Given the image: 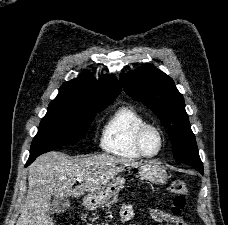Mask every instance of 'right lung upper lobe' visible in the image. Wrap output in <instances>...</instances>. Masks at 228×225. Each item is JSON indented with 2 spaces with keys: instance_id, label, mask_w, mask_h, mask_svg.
Listing matches in <instances>:
<instances>
[{
  "instance_id": "right-lung-upper-lobe-1",
  "label": "right lung upper lobe",
  "mask_w": 228,
  "mask_h": 225,
  "mask_svg": "<svg viewBox=\"0 0 228 225\" xmlns=\"http://www.w3.org/2000/svg\"><path fill=\"white\" fill-rule=\"evenodd\" d=\"M121 87L113 76L96 80L88 72L78 79L65 82L54 101L81 102L94 105H109L120 93Z\"/></svg>"
}]
</instances>
